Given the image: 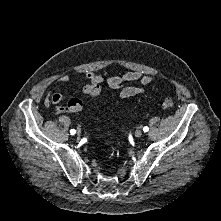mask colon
Here are the masks:
<instances>
[{"instance_id":"5ec220e1","label":"colon","mask_w":221,"mask_h":221,"mask_svg":"<svg viewBox=\"0 0 221 221\" xmlns=\"http://www.w3.org/2000/svg\"><path fill=\"white\" fill-rule=\"evenodd\" d=\"M83 93L89 96H97L100 93V86L98 84H89L83 87ZM173 97L167 95L163 100V105L165 108L173 107ZM83 107V103L78 98H72L68 102V108L72 111H79Z\"/></svg>"}]
</instances>
